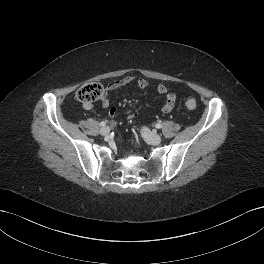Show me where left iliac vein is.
Instances as JSON below:
<instances>
[{"mask_svg": "<svg viewBox=\"0 0 264 264\" xmlns=\"http://www.w3.org/2000/svg\"><path fill=\"white\" fill-rule=\"evenodd\" d=\"M141 132L145 140L150 144L158 145L162 141V138L159 134L151 132L148 128H143Z\"/></svg>", "mask_w": 264, "mask_h": 264, "instance_id": "left-iliac-vein-1", "label": "left iliac vein"}]
</instances>
